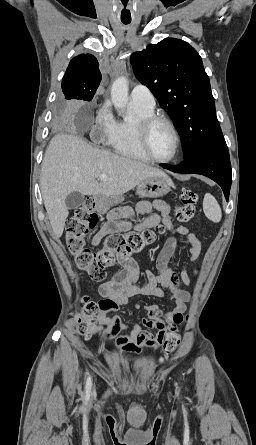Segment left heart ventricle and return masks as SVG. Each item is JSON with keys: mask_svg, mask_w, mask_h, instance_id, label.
<instances>
[{"mask_svg": "<svg viewBox=\"0 0 256 445\" xmlns=\"http://www.w3.org/2000/svg\"><path fill=\"white\" fill-rule=\"evenodd\" d=\"M149 142L153 154L158 158H169L174 152V135L164 123H157L153 126L150 131Z\"/></svg>", "mask_w": 256, "mask_h": 445, "instance_id": "left-heart-ventricle-1", "label": "left heart ventricle"}]
</instances>
